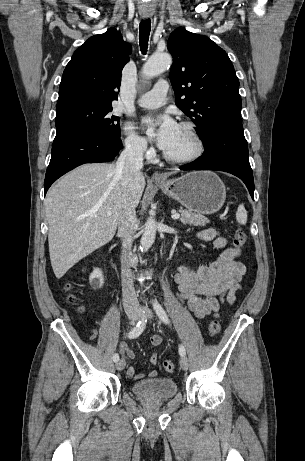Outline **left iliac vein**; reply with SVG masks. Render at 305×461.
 <instances>
[{
	"instance_id": "4c4485c4",
	"label": "left iliac vein",
	"mask_w": 305,
	"mask_h": 461,
	"mask_svg": "<svg viewBox=\"0 0 305 461\" xmlns=\"http://www.w3.org/2000/svg\"><path fill=\"white\" fill-rule=\"evenodd\" d=\"M145 311H146V314L149 316V317H152V312L150 310H148L147 308H145ZM180 366L183 370H187L188 369V366H189V363H188V359L187 357L184 355V356H181L180 358Z\"/></svg>"
}]
</instances>
